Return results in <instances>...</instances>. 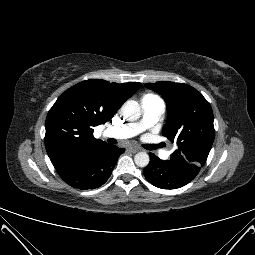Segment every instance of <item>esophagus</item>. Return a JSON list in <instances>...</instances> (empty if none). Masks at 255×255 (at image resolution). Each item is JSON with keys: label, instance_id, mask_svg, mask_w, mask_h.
<instances>
[{"label": "esophagus", "instance_id": "1", "mask_svg": "<svg viewBox=\"0 0 255 255\" xmlns=\"http://www.w3.org/2000/svg\"><path fill=\"white\" fill-rule=\"evenodd\" d=\"M128 150H129L130 152H132V153H136V152L140 151V149L137 148V147H129Z\"/></svg>", "mask_w": 255, "mask_h": 255}]
</instances>
